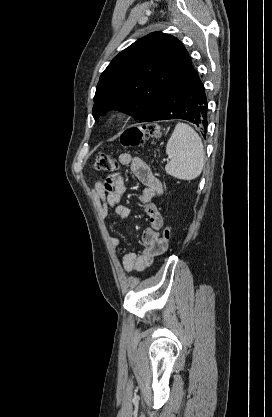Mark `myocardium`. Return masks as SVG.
<instances>
[{
	"mask_svg": "<svg viewBox=\"0 0 272 417\" xmlns=\"http://www.w3.org/2000/svg\"><path fill=\"white\" fill-rule=\"evenodd\" d=\"M123 116L124 113L122 111H116L110 115V120L113 122H118L123 118Z\"/></svg>",
	"mask_w": 272,
	"mask_h": 417,
	"instance_id": "myocardium-1",
	"label": "myocardium"
}]
</instances>
